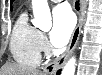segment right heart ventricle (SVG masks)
<instances>
[{"label": "right heart ventricle", "mask_w": 102, "mask_h": 75, "mask_svg": "<svg viewBox=\"0 0 102 75\" xmlns=\"http://www.w3.org/2000/svg\"><path fill=\"white\" fill-rule=\"evenodd\" d=\"M40 37L41 32L29 23L27 13L20 14L10 40L13 59L22 65L38 66L41 57Z\"/></svg>", "instance_id": "1"}]
</instances>
